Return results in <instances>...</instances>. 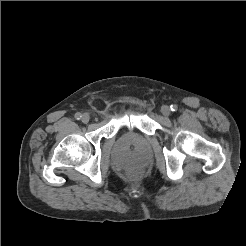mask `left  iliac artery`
<instances>
[{
    "label": "left iliac artery",
    "mask_w": 246,
    "mask_h": 246,
    "mask_svg": "<svg viewBox=\"0 0 246 246\" xmlns=\"http://www.w3.org/2000/svg\"><path fill=\"white\" fill-rule=\"evenodd\" d=\"M170 109H171V111L174 112V111H177L178 107H177L176 104H173V105L170 106Z\"/></svg>",
    "instance_id": "left-iliac-artery-1"
}]
</instances>
